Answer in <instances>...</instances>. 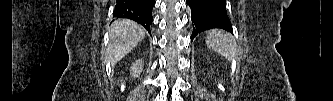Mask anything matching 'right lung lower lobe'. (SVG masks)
I'll return each mask as SVG.
<instances>
[{
  "instance_id": "1",
  "label": "right lung lower lobe",
  "mask_w": 333,
  "mask_h": 101,
  "mask_svg": "<svg viewBox=\"0 0 333 101\" xmlns=\"http://www.w3.org/2000/svg\"><path fill=\"white\" fill-rule=\"evenodd\" d=\"M154 4L155 0H117L113 17L134 20L150 32Z\"/></svg>"
}]
</instances>
